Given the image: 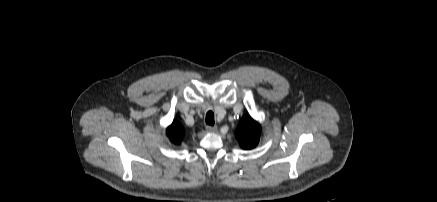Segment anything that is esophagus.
I'll use <instances>...</instances> for the list:
<instances>
[{
  "mask_svg": "<svg viewBox=\"0 0 437 202\" xmlns=\"http://www.w3.org/2000/svg\"><path fill=\"white\" fill-rule=\"evenodd\" d=\"M206 131L207 132H216L217 131V126H206Z\"/></svg>",
  "mask_w": 437,
  "mask_h": 202,
  "instance_id": "esophagus-1",
  "label": "esophagus"
}]
</instances>
